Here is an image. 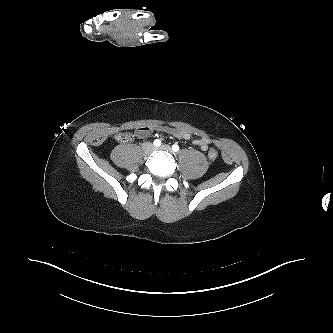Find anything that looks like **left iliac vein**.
Masks as SVG:
<instances>
[{
	"label": "left iliac vein",
	"mask_w": 333,
	"mask_h": 333,
	"mask_svg": "<svg viewBox=\"0 0 333 333\" xmlns=\"http://www.w3.org/2000/svg\"><path fill=\"white\" fill-rule=\"evenodd\" d=\"M159 150H164V151H167L169 153H173L171 147L169 145H162L160 147H158Z\"/></svg>",
	"instance_id": "1"
}]
</instances>
